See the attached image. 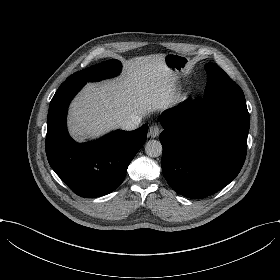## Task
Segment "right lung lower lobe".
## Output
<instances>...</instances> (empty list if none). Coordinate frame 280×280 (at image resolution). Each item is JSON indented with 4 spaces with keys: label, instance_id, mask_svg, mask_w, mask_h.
Listing matches in <instances>:
<instances>
[{
    "label": "right lung lower lobe",
    "instance_id": "1",
    "mask_svg": "<svg viewBox=\"0 0 280 280\" xmlns=\"http://www.w3.org/2000/svg\"><path fill=\"white\" fill-rule=\"evenodd\" d=\"M86 84L65 81L53 96L47 116V159L61 180L77 195L99 197L114 191L124 180L128 165L145 143L148 126L117 130L99 140L77 143L68 134L70 101Z\"/></svg>",
    "mask_w": 280,
    "mask_h": 280
}]
</instances>
